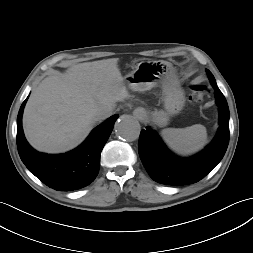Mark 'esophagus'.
<instances>
[{
    "instance_id": "obj_1",
    "label": "esophagus",
    "mask_w": 253,
    "mask_h": 253,
    "mask_svg": "<svg viewBox=\"0 0 253 253\" xmlns=\"http://www.w3.org/2000/svg\"><path fill=\"white\" fill-rule=\"evenodd\" d=\"M142 117H143V114H142V113H139V114L137 115V118H139V119H142Z\"/></svg>"
}]
</instances>
